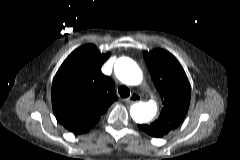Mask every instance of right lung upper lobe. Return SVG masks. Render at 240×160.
<instances>
[{
  "mask_svg": "<svg viewBox=\"0 0 240 160\" xmlns=\"http://www.w3.org/2000/svg\"><path fill=\"white\" fill-rule=\"evenodd\" d=\"M108 57L95 45L86 44L66 58L54 77L51 89L54 115L75 134L93 128L117 100L112 79L101 72Z\"/></svg>",
  "mask_w": 240,
  "mask_h": 160,
  "instance_id": "right-lung-upper-lobe-1",
  "label": "right lung upper lobe"
}]
</instances>
